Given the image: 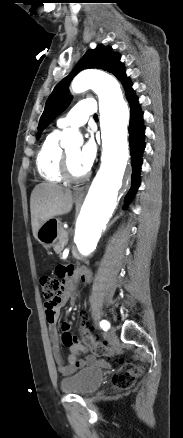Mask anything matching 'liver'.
Instances as JSON below:
<instances>
[{"mask_svg":"<svg viewBox=\"0 0 183 438\" xmlns=\"http://www.w3.org/2000/svg\"><path fill=\"white\" fill-rule=\"evenodd\" d=\"M72 191L59 185L42 183L31 194V225L33 236L37 239L40 226L47 220L68 214L72 209Z\"/></svg>","mask_w":183,"mask_h":438,"instance_id":"liver-1","label":"liver"}]
</instances>
